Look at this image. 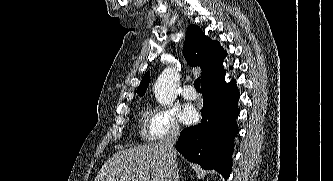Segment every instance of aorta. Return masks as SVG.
<instances>
[{
    "instance_id": "obj_1",
    "label": "aorta",
    "mask_w": 333,
    "mask_h": 181,
    "mask_svg": "<svg viewBox=\"0 0 333 181\" xmlns=\"http://www.w3.org/2000/svg\"><path fill=\"white\" fill-rule=\"evenodd\" d=\"M178 78V73L172 67L164 69L158 77L154 85V93L161 105L168 106L175 101Z\"/></svg>"
}]
</instances>
